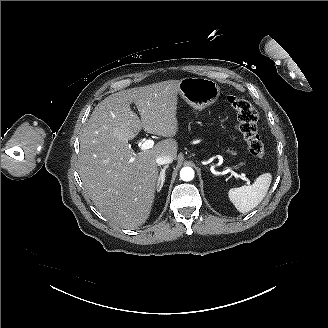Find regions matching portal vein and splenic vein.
Returning a JSON list of instances; mask_svg holds the SVG:
<instances>
[{
  "instance_id": "18ae733b",
  "label": "portal vein and splenic vein",
  "mask_w": 328,
  "mask_h": 328,
  "mask_svg": "<svg viewBox=\"0 0 328 328\" xmlns=\"http://www.w3.org/2000/svg\"><path fill=\"white\" fill-rule=\"evenodd\" d=\"M140 148L141 150H147V149H151L154 146V141L151 139L145 140L143 143H140ZM228 172H231V174L238 178L239 176L242 178V180L246 181L247 183H250V179H248V177H245L243 174H241L240 172H234L230 169H227Z\"/></svg>"
}]
</instances>
